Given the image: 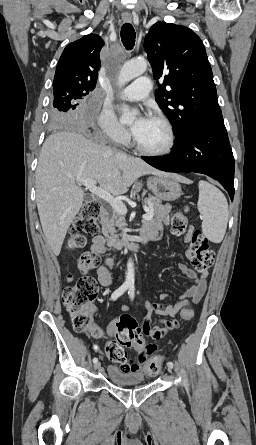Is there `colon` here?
<instances>
[{"label":"colon","instance_id":"colon-1","mask_svg":"<svg viewBox=\"0 0 256 445\" xmlns=\"http://www.w3.org/2000/svg\"><path fill=\"white\" fill-rule=\"evenodd\" d=\"M101 206L97 202L85 204L75 219L66 242L67 250L80 249L85 246L87 236H94L99 231L98 221ZM190 217L185 212L173 214L170 220L172 233L180 236L191 228ZM191 262L198 272H208L215 259L214 252L210 249L204 234L195 230L191 236ZM78 265L82 272L100 265V258L90 254H82L78 259ZM71 281V277L68 278ZM98 293V285L93 277L83 275L74 284L67 286L62 294V302L71 317L73 328L78 332H90L94 337L100 338L103 333L91 323V304ZM185 319L194 316V310L187 307L182 311ZM143 328L130 315H122L117 319L116 340L106 345L108 358L115 363H123L127 359L125 347H132L142 351L146 345L143 338ZM162 360L154 357L144 365V371L149 376L159 373Z\"/></svg>","mask_w":256,"mask_h":445}]
</instances>
